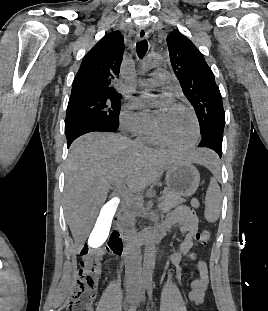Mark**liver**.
Returning a JSON list of instances; mask_svg holds the SVG:
<instances>
[{
    "mask_svg": "<svg viewBox=\"0 0 268 311\" xmlns=\"http://www.w3.org/2000/svg\"><path fill=\"white\" fill-rule=\"evenodd\" d=\"M209 154L199 149L183 158L173 152L143 147L120 134L101 132L75 140L67 158L64 196L76 249L83 247L93 230L112 185L123 182L130 191L140 192L159 181L171 164L186 159L206 165Z\"/></svg>",
    "mask_w": 268,
    "mask_h": 311,
    "instance_id": "obj_1",
    "label": "liver"
}]
</instances>
